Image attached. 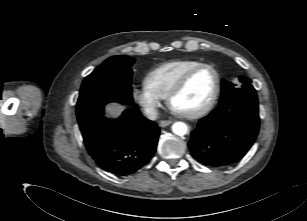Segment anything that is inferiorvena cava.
<instances>
[{
  "label": "inferior vena cava",
  "instance_id": "obj_1",
  "mask_svg": "<svg viewBox=\"0 0 307 221\" xmlns=\"http://www.w3.org/2000/svg\"><path fill=\"white\" fill-rule=\"evenodd\" d=\"M145 115L150 120H156L158 118V112L156 108L151 107L145 110Z\"/></svg>",
  "mask_w": 307,
  "mask_h": 221
}]
</instances>
